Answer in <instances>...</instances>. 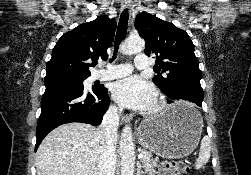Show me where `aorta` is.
Masks as SVG:
<instances>
[{
	"instance_id": "obj_1",
	"label": "aorta",
	"mask_w": 251,
	"mask_h": 175,
	"mask_svg": "<svg viewBox=\"0 0 251 175\" xmlns=\"http://www.w3.org/2000/svg\"><path fill=\"white\" fill-rule=\"evenodd\" d=\"M145 48L141 38H128L120 46L122 54H139ZM134 139L130 125H125L120 137L121 175H134L135 151Z\"/></svg>"
}]
</instances>
